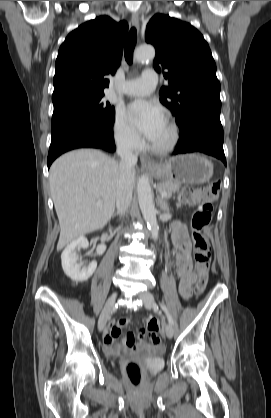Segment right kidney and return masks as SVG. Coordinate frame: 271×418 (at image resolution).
<instances>
[{
	"label": "right kidney",
	"mask_w": 271,
	"mask_h": 418,
	"mask_svg": "<svg viewBox=\"0 0 271 418\" xmlns=\"http://www.w3.org/2000/svg\"><path fill=\"white\" fill-rule=\"evenodd\" d=\"M88 246V240L82 236L73 240L62 252L61 260L64 273L75 282L88 280L96 270V262H92L86 267L82 258L77 254V250Z\"/></svg>",
	"instance_id": "obj_1"
}]
</instances>
